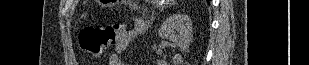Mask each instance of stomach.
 Instances as JSON below:
<instances>
[{"instance_id":"obj_1","label":"stomach","mask_w":309,"mask_h":65,"mask_svg":"<svg viewBox=\"0 0 309 65\" xmlns=\"http://www.w3.org/2000/svg\"><path fill=\"white\" fill-rule=\"evenodd\" d=\"M120 3H122L121 0H104V1H101V5L105 6V7L117 5V4H120Z\"/></svg>"}]
</instances>
